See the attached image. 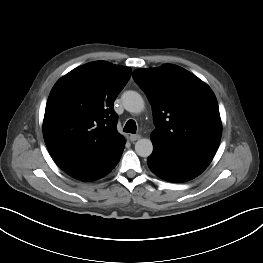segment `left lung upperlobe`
<instances>
[{
  "label": "left lung upper lobe",
  "mask_w": 263,
  "mask_h": 263,
  "mask_svg": "<svg viewBox=\"0 0 263 263\" xmlns=\"http://www.w3.org/2000/svg\"><path fill=\"white\" fill-rule=\"evenodd\" d=\"M132 76L152 106L155 130L151 137L218 149L222 123L216 97L207 84L172 64L137 69Z\"/></svg>",
  "instance_id": "5c2ea615"
}]
</instances>
